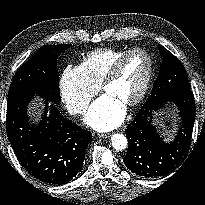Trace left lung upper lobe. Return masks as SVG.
Returning <instances> with one entry per match:
<instances>
[{
    "instance_id": "1",
    "label": "left lung upper lobe",
    "mask_w": 205,
    "mask_h": 205,
    "mask_svg": "<svg viewBox=\"0 0 205 205\" xmlns=\"http://www.w3.org/2000/svg\"><path fill=\"white\" fill-rule=\"evenodd\" d=\"M158 48L162 54L163 61L151 95L145 102L146 105L152 106L173 92L190 90L186 71L180 60L164 47L158 45Z\"/></svg>"
}]
</instances>
